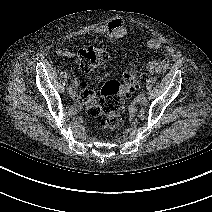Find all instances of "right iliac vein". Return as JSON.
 Returning a JSON list of instances; mask_svg holds the SVG:
<instances>
[{"mask_svg":"<svg viewBox=\"0 0 212 212\" xmlns=\"http://www.w3.org/2000/svg\"><path fill=\"white\" fill-rule=\"evenodd\" d=\"M69 94L73 99L76 97V92L74 90H72Z\"/></svg>","mask_w":212,"mask_h":212,"instance_id":"right-iliac-vein-1","label":"right iliac vein"}]
</instances>
